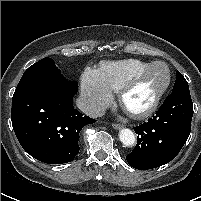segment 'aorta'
Segmentation results:
<instances>
[{
  "label": "aorta",
  "instance_id": "aorta-1",
  "mask_svg": "<svg viewBox=\"0 0 201 201\" xmlns=\"http://www.w3.org/2000/svg\"><path fill=\"white\" fill-rule=\"evenodd\" d=\"M119 139L125 146H132L135 143V135L132 130L124 128L119 132Z\"/></svg>",
  "mask_w": 201,
  "mask_h": 201
}]
</instances>
